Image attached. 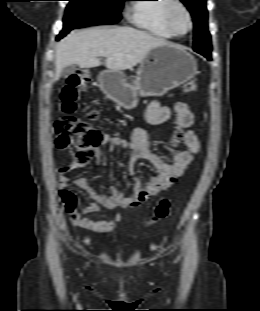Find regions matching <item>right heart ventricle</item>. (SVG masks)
<instances>
[{
  "label": "right heart ventricle",
  "instance_id": "1",
  "mask_svg": "<svg viewBox=\"0 0 260 311\" xmlns=\"http://www.w3.org/2000/svg\"><path fill=\"white\" fill-rule=\"evenodd\" d=\"M141 2L155 3H137L132 7L131 20L139 28L146 30L159 38L169 39L173 34L167 28L164 11L169 0H138Z\"/></svg>",
  "mask_w": 260,
  "mask_h": 311
}]
</instances>
